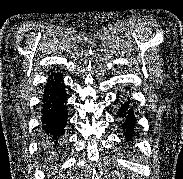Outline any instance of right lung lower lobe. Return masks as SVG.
Segmentation results:
<instances>
[{
	"label": "right lung lower lobe",
	"instance_id": "1",
	"mask_svg": "<svg viewBox=\"0 0 183 179\" xmlns=\"http://www.w3.org/2000/svg\"><path fill=\"white\" fill-rule=\"evenodd\" d=\"M67 94L60 74L52 73L44 88L41 108V133L45 149L55 151L67 125Z\"/></svg>",
	"mask_w": 183,
	"mask_h": 179
}]
</instances>
